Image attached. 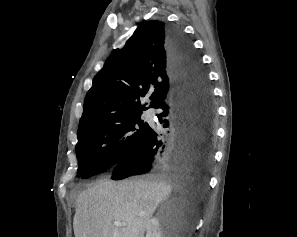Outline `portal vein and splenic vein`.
Returning a JSON list of instances; mask_svg holds the SVG:
<instances>
[{"mask_svg":"<svg viewBox=\"0 0 297 237\" xmlns=\"http://www.w3.org/2000/svg\"><path fill=\"white\" fill-rule=\"evenodd\" d=\"M114 225H115V226H118V227H121V226H125V225H126V223H124V222H117V221H115V222H114Z\"/></svg>","mask_w":297,"mask_h":237,"instance_id":"1","label":"portal vein and splenic vein"}]
</instances>
